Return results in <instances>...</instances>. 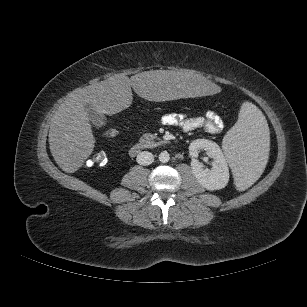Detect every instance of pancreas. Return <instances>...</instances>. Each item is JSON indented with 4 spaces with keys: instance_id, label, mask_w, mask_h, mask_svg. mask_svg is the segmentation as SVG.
Returning a JSON list of instances; mask_svg holds the SVG:
<instances>
[{
    "instance_id": "1",
    "label": "pancreas",
    "mask_w": 307,
    "mask_h": 307,
    "mask_svg": "<svg viewBox=\"0 0 307 307\" xmlns=\"http://www.w3.org/2000/svg\"><path fill=\"white\" fill-rule=\"evenodd\" d=\"M156 138H157V136H156L155 134L145 133V134H143V135L140 137L139 141H140L141 143H151V144H153V145H157L158 143H155V142H154V139H156ZM160 143H161V142H160Z\"/></svg>"
}]
</instances>
